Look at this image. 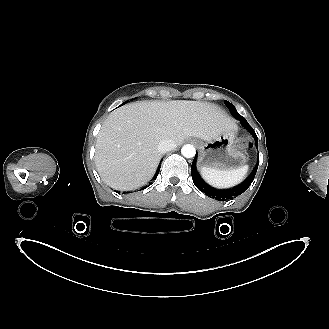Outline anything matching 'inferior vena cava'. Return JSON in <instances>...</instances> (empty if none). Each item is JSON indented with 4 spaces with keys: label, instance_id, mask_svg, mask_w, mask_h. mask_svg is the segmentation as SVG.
Here are the masks:
<instances>
[{
    "label": "inferior vena cava",
    "instance_id": "1",
    "mask_svg": "<svg viewBox=\"0 0 329 329\" xmlns=\"http://www.w3.org/2000/svg\"><path fill=\"white\" fill-rule=\"evenodd\" d=\"M157 148L160 153H165L176 148V143L171 139H164L159 142Z\"/></svg>",
    "mask_w": 329,
    "mask_h": 329
}]
</instances>
